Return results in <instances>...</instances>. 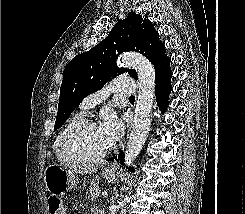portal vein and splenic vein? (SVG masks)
I'll return each mask as SVG.
<instances>
[{
    "mask_svg": "<svg viewBox=\"0 0 245 214\" xmlns=\"http://www.w3.org/2000/svg\"><path fill=\"white\" fill-rule=\"evenodd\" d=\"M102 196L107 197L108 196L107 192H102Z\"/></svg>",
    "mask_w": 245,
    "mask_h": 214,
    "instance_id": "18ae733b",
    "label": "portal vein and splenic vein"
}]
</instances>
